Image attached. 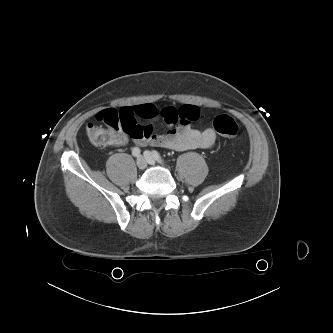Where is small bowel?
Listing matches in <instances>:
<instances>
[{"label": "small bowel", "mask_w": 333, "mask_h": 333, "mask_svg": "<svg viewBox=\"0 0 333 333\" xmlns=\"http://www.w3.org/2000/svg\"><path fill=\"white\" fill-rule=\"evenodd\" d=\"M138 118L153 120L160 118L167 127L166 132L158 133L153 126L138 124L137 131L132 134L117 132L112 145H124L130 139L140 146H157L176 151L193 149H210L216 143V132L212 128L204 130L192 126L201 117V110L194 105L166 107L158 110L151 104L130 108Z\"/></svg>", "instance_id": "c3829d8e"}]
</instances>
